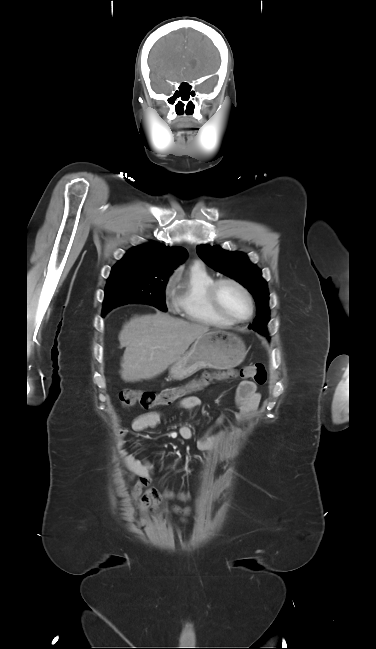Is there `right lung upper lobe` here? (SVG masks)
<instances>
[{
	"label": "right lung upper lobe",
	"instance_id": "1",
	"mask_svg": "<svg viewBox=\"0 0 376 649\" xmlns=\"http://www.w3.org/2000/svg\"><path fill=\"white\" fill-rule=\"evenodd\" d=\"M187 251L181 247H166L154 242L130 249L122 260L133 261L149 273H165L181 264Z\"/></svg>",
	"mask_w": 376,
	"mask_h": 649
}]
</instances>
